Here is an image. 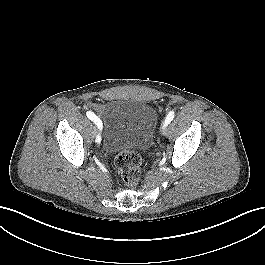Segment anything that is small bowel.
I'll return each mask as SVG.
<instances>
[{
    "label": "small bowel",
    "mask_w": 265,
    "mask_h": 265,
    "mask_svg": "<svg viewBox=\"0 0 265 265\" xmlns=\"http://www.w3.org/2000/svg\"><path fill=\"white\" fill-rule=\"evenodd\" d=\"M92 106L96 108L97 110L102 109V106L96 103H93Z\"/></svg>",
    "instance_id": "obj_1"
}]
</instances>
